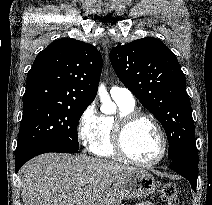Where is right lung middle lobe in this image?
Here are the masks:
<instances>
[{
	"instance_id": "1",
	"label": "right lung middle lobe",
	"mask_w": 212,
	"mask_h": 205,
	"mask_svg": "<svg viewBox=\"0 0 212 205\" xmlns=\"http://www.w3.org/2000/svg\"><path fill=\"white\" fill-rule=\"evenodd\" d=\"M88 106L47 101L24 103L16 152L41 142L79 148L77 125Z\"/></svg>"
}]
</instances>
